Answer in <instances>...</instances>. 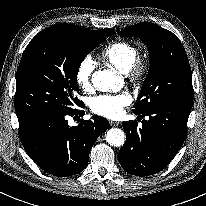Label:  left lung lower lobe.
<instances>
[{"mask_svg": "<svg viewBox=\"0 0 206 206\" xmlns=\"http://www.w3.org/2000/svg\"><path fill=\"white\" fill-rule=\"evenodd\" d=\"M192 107L155 105L140 117L148 116L137 127L136 121L123 122L126 142L118 160L122 168L136 176H148L164 169L180 150L187 132Z\"/></svg>", "mask_w": 206, "mask_h": 206, "instance_id": "obj_1", "label": "left lung lower lobe"}]
</instances>
